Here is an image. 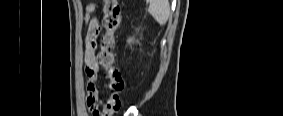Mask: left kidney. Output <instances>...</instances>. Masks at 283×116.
I'll use <instances>...</instances> for the list:
<instances>
[{
  "instance_id": "left-kidney-1",
  "label": "left kidney",
  "mask_w": 283,
  "mask_h": 116,
  "mask_svg": "<svg viewBox=\"0 0 283 116\" xmlns=\"http://www.w3.org/2000/svg\"><path fill=\"white\" fill-rule=\"evenodd\" d=\"M132 41V39H129V41L128 42H131Z\"/></svg>"
}]
</instances>
